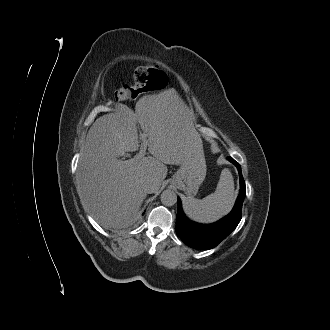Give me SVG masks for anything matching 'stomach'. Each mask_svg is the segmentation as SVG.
I'll use <instances>...</instances> for the list:
<instances>
[{
    "label": "stomach",
    "instance_id": "obj_1",
    "mask_svg": "<svg viewBox=\"0 0 330 330\" xmlns=\"http://www.w3.org/2000/svg\"><path fill=\"white\" fill-rule=\"evenodd\" d=\"M206 176V162L203 150L191 154L174 174L171 182L188 196L197 194Z\"/></svg>",
    "mask_w": 330,
    "mask_h": 330
}]
</instances>
